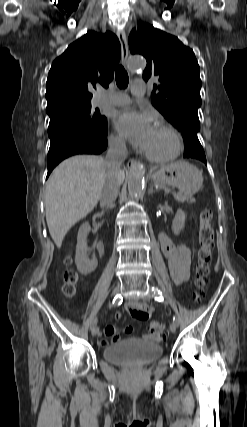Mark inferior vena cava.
<instances>
[{"label": "inferior vena cava", "instance_id": "1", "mask_svg": "<svg viewBox=\"0 0 247 427\" xmlns=\"http://www.w3.org/2000/svg\"><path fill=\"white\" fill-rule=\"evenodd\" d=\"M126 157L127 148L125 141L122 139L109 140V149L105 158L107 172L100 194V206L102 208H110L114 205L120 187L118 174Z\"/></svg>", "mask_w": 247, "mask_h": 427}]
</instances>
